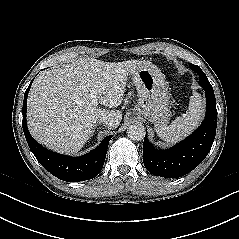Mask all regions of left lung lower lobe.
I'll return each mask as SVG.
<instances>
[{"instance_id":"0a47b994","label":"left lung lower lobe","mask_w":239,"mask_h":239,"mask_svg":"<svg viewBox=\"0 0 239 239\" xmlns=\"http://www.w3.org/2000/svg\"><path fill=\"white\" fill-rule=\"evenodd\" d=\"M205 90L206 117L189 137L167 150H158L144 138L143 162L146 169L165 178H178L196 168L209 153L217 127V110L213 88L208 80H200Z\"/></svg>"}]
</instances>
